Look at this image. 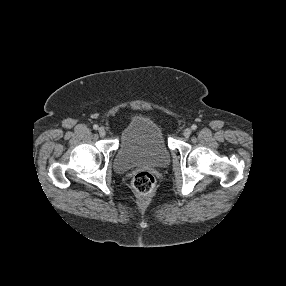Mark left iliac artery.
Here are the masks:
<instances>
[{
  "label": "left iliac artery",
  "instance_id": "1",
  "mask_svg": "<svg viewBox=\"0 0 286 286\" xmlns=\"http://www.w3.org/2000/svg\"><path fill=\"white\" fill-rule=\"evenodd\" d=\"M191 129H192V130H196V129H197V126H196L195 124H193V125L191 126Z\"/></svg>",
  "mask_w": 286,
  "mask_h": 286
}]
</instances>
